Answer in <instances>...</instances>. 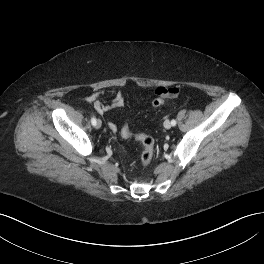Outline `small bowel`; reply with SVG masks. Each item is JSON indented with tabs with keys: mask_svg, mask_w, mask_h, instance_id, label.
<instances>
[{
	"mask_svg": "<svg viewBox=\"0 0 264 264\" xmlns=\"http://www.w3.org/2000/svg\"><path fill=\"white\" fill-rule=\"evenodd\" d=\"M180 93V89L176 86L171 87H158L155 90L157 97L163 99L176 98ZM103 92H95L85 98L86 102L93 104L94 109L100 115H103L108 110L116 107H122L125 104V93L123 91H112L110 92V100L108 102L102 99ZM109 128L112 131L117 130L116 124L113 122L108 123Z\"/></svg>",
	"mask_w": 264,
	"mask_h": 264,
	"instance_id": "c3829d8e",
	"label": "small bowel"
}]
</instances>
